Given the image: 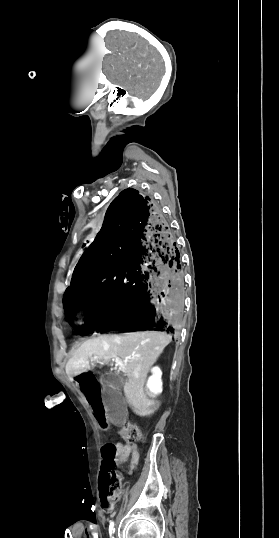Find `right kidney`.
Here are the masks:
<instances>
[{"mask_svg":"<svg viewBox=\"0 0 279 538\" xmlns=\"http://www.w3.org/2000/svg\"><path fill=\"white\" fill-rule=\"evenodd\" d=\"M152 374L153 376H150L147 384V388H149L150 392H153V394H160L162 392V372L160 368H152Z\"/></svg>","mask_w":279,"mask_h":538,"instance_id":"obj_1","label":"right kidney"}]
</instances>
